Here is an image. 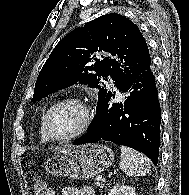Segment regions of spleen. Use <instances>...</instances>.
Here are the masks:
<instances>
[{
  "label": "spleen",
  "mask_w": 189,
  "mask_h": 195,
  "mask_svg": "<svg viewBox=\"0 0 189 195\" xmlns=\"http://www.w3.org/2000/svg\"><path fill=\"white\" fill-rule=\"evenodd\" d=\"M119 166L128 176H145L151 168L146 156L126 146H121Z\"/></svg>",
  "instance_id": "3e777b00"
}]
</instances>
